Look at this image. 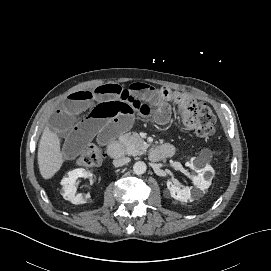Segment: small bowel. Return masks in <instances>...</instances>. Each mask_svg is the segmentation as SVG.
Returning <instances> with one entry per match:
<instances>
[{"mask_svg":"<svg viewBox=\"0 0 271 271\" xmlns=\"http://www.w3.org/2000/svg\"><path fill=\"white\" fill-rule=\"evenodd\" d=\"M185 96L145 83H133L128 88L105 84L75 91L52 115L50 131L60 137L63 154L70 159L95 136L104 142L127 131L136 113L150 117L158 124H165L172 113L169 103L174 102L182 110ZM84 112L87 116L78 119ZM160 148L167 156L174 153V146L169 143Z\"/></svg>","mask_w":271,"mask_h":271,"instance_id":"small-bowel-1","label":"small bowel"}]
</instances>
